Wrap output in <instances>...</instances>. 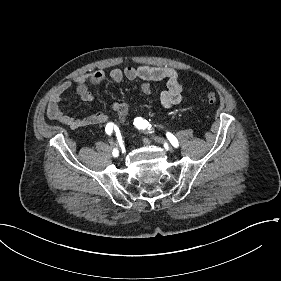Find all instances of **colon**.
<instances>
[{
    "instance_id": "obj_1",
    "label": "colon",
    "mask_w": 281,
    "mask_h": 281,
    "mask_svg": "<svg viewBox=\"0 0 281 281\" xmlns=\"http://www.w3.org/2000/svg\"><path fill=\"white\" fill-rule=\"evenodd\" d=\"M218 95L215 94V93H209L207 96H206V101L209 103V104H215L216 102H218ZM117 119L119 122L121 123H126L129 121L130 119V114L128 111H126V108H122L118 114H117Z\"/></svg>"
}]
</instances>
